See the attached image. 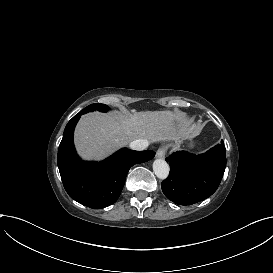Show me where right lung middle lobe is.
Listing matches in <instances>:
<instances>
[{
    "mask_svg": "<svg viewBox=\"0 0 273 273\" xmlns=\"http://www.w3.org/2000/svg\"><path fill=\"white\" fill-rule=\"evenodd\" d=\"M109 109V107L105 104H99V103H95V104H91L87 107H85L82 111H80L79 113L81 114H85L94 110H98L101 112H106Z\"/></svg>",
    "mask_w": 273,
    "mask_h": 273,
    "instance_id": "dd1d6c3e",
    "label": "right lung middle lobe"
}]
</instances>
